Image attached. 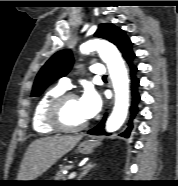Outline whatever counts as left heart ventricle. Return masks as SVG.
<instances>
[{"instance_id":"obj_1","label":"left heart ventricle","mask_w":178,"mask_h":186,"mask_svg":"<svg viewBox=\"0 0 178 186\" xmlns=\"http://www.w3.org/2000/svg\"><path fill=\"white\" fill-rule=\"evenodd\" d=\"M61 119L67 126H77L88 120L83 114L78 98H73L65 104Z\"/></svg>"}]
</instances>
